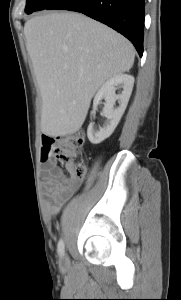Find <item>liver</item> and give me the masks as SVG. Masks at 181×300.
<instances>
[{"instance_id": "6515ba94", "label": "liver", "mask_w": 181, "mask_h": 300, "mask_svg": "<svg viewBox=\"0 0 181 300\" xmlns=\"http://www.w3.org/2000/svg\"><path fill=\"white\" fill-rule=\"evenodd\" d=\"M24 35L42 98L41 131L48 136L76 133L100 86L134 63L128 39L81 13L35 16Z\"/></svg>"}]
</instances>
